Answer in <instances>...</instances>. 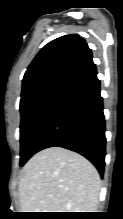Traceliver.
<instances>
[{
  "label": "liver",
  "mask_w": 123,
  "mask_h": 219,
  "mask_svg": "<svg viewBox=\"0 0 123 219\" xmlns=\"http://www.w3.org/2000/svg\"><path fill=\"white\" fill-rule=\"evenodd\" d=\"M100 189L96 168L61 147L44 149L30 158L18 186L22 212H96Z\"/></svg>",
  "instance_id": "1"
}]
</instances>
